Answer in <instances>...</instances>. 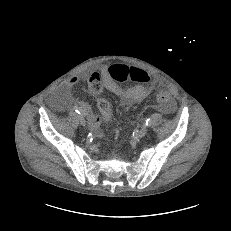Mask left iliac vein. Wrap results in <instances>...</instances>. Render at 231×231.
<instances>
[{
    "label": "left iliac vein",
    "mask_w": 231,
    "mask_h": 231,
    "mask_svg": "<svg viewBox=\"0 0 231 231\" xmlns=\"http://www.w3.org/2000/svg\"><path fill=\"white\" fill-rule=\"evenodd\" d=\"M146 134H147V127L144 126L142 129H140V130L138 131L137 136H138L139 138H142V137H144Z\"/></svg>",
    "instance_id": "obj_1"
}]
</instances>
